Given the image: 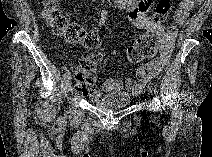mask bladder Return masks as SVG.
Returning <instances> with one entry per match:
<instances>
[{
	"instance_id": "obj_1",
	"label": "bladder",
	"mask_w": 212,
	"mask_h": 157,
	"mask_svg": "<svg viewBox=\"0 0 212 157\" xmlns=\"http://www.w3.org/2000/svg\"><path fill=\"white\" fill-rule=\"evenodd\" d=\"M132 100L131 95L126 92H111L101 97H98L94 101V105L99 109L115 110L127 107Z\"/></svg>"
}]
</instances>
